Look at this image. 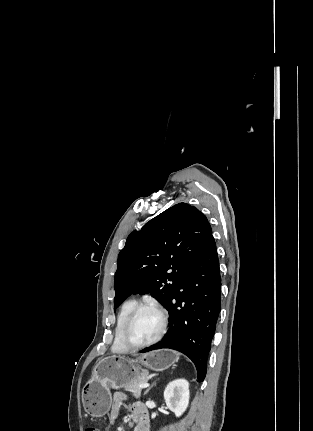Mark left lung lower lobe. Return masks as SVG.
I'll return each mask as SVG.
<instances>
[{
    "label": "left lung lower lobe",
    "mask_w": 313,
    "mask_h": 431,
    "mask_svg": "<svg viewBox=\"0 0 313 431\" xmlns=\"http://www.w3.org/2000/svg\"><path fill=\"white\" fill-rule=\"evenodd\" d=\"M166 309L169 313L166 335L141 352L160 348L180 351L193 361L198 382H202L221 310V277L212 233Z\"/></svg>",
    "instance_id": "obj_1"
}]
</instances>
